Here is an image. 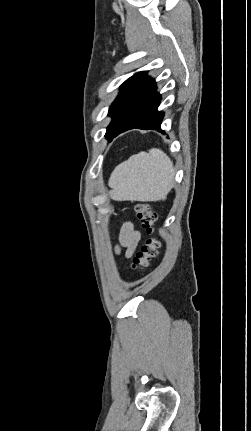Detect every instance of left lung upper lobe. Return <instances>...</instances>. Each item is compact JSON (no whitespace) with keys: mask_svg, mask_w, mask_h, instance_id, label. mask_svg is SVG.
<instances>
[{"mask_svg":"<svg viewBox=\"0 0 251 431\" xmlns=\"http://www.w3.org/2000/svg\"><path fill=\"white\" fill-rule=\"evenodd\" d=\"M147 79L148 74L146 71H143L136 73L121 85L119 95L109 108L108 115L112 117V121L107 128L105 135L107 139L110 138L113 131L119 125L129 106Z\"/></svg>","mask_w":251,"mask_h":431,"instance_id":"obj_1","label":"left lung upper lobe"}]
</instances>
